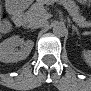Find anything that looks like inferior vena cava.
Returning <instances> with one entry per match:
<instances>
[{
  "instance_id": "obj_1",
  "label": "inferior vena cava",
  "mask_w": 91,
  "mask_h": 91,
  "mask_svg": "<svg viewBox=\"0 0 91 91\" xmlns=\"http://www.w3.org/2000/svg\"><path fill=\"white\" fill-rule=\"evenodd\" d=\"M44 24H45V22L43 20H39V21H36V22H30L28 27L32 28V29H37V28L43 27Z\"/></svg>"
}]
</instances>
